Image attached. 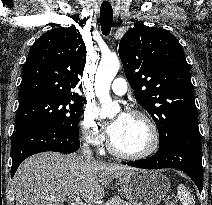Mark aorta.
I'll use <instances>...</instances> for the list:
<instances>
[{"label":"aorta","mask_w":212,"mask_h":205,"mask_svg":"<svg viewBox=\"0 0 212 205\" xmlns=\"http://www.w3.org/2000/svg\"><path fill=\"white\" fill-rule=\"evenodd\" d=\"M120 62L116 56L103 57L95 75V93L101 103V116H106L114 111L110 98V85L118 73ZM118 109V106H116Z\"/></svg>","instance_id":"762f6f07"}]
</instances>
